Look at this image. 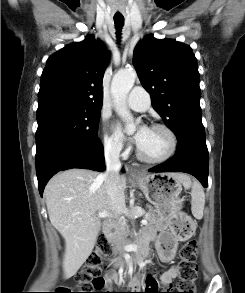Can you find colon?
I'll return each mask as SVG.
<instances>
[{
	"mask_svg": "<svg viewBox=\"0 0 245 293\" xmlns=\"http://www.w3.org/2000/svg\"><path fill=\"white\" fill-rule=\"evenodd\" d=\"M191 228V222L188 218H182L174 222L172 226V234L182 236ZM98 253L88 258L81 270L77 273L76 279L78 289L83 292L73 293H100L92 291H100L107 287V281L102 277L101 272L104 267L102 263L103 257L111 254V248L108 240L104 236H100L97 240ZM198 256V244L195 240L188 241L180 250L179 280L174 287L170 289V293H194V283L197 277L196 258ZM150 286L153 283L150 281ZM151 289L145 293H149ZM57 292L70 293L69 288H58ZM53 292V293H57Z\"/></svg>",
	"mask_w": 245,
	"mask_h": 293,
	"instance_id": "1",
	"label": "colon"
}]
</instances>
